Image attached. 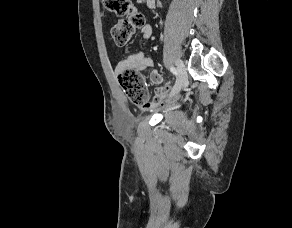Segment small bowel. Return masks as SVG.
<instances>
[{
  "label": "small bowel",
  "mask_w": 292,
  "mask_h": 228,
  "mask_svg": "<svg viewBox=\"0 0 292 228\" xmlns=\"http://www.w3.org/2000/svg\"><path fill=\"white\" fill-rule=\"evenodd\" d=\"M140 31L144 39L149 40L152 37L153 31L151 25L144 24ZM152 66L153 59L146 56L143 52H138L131 54L126 59L120 61L115 67V73L120 74L122 71L127 69L144 71ZM149 78L151 82L157 84L158 87L155 90L153 100L150 102L146 101L143 105H141L143 110H154L168 102L167 97L170 90L169 81L165 80L155 69L151 70Z\"/></svg>",
  "instance_id": "c3829d8e"
}]
</instances>
